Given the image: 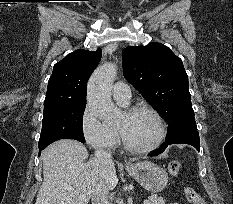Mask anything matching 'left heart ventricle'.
Returning a JSON list of instances; mask_svg holds the SVG:
<instances>
[{"mask_svg":"<svg viewBox=\"0 0 233 204\" xmlns=\"http://www.w3.org/2000/svg\"><path fill=\"white\" fill-rule=\"evenodd\" d=\"M116 127L123 131L132 145L138 147L152 144L159 134L157 121L146 111H139L133 115L123 112L116 122Z\"/></svg>","mask_w":233,"mask_h":204,"instance_id":"b2bd125f","label":"left heart ventricle"}]
</instances>
